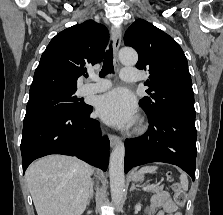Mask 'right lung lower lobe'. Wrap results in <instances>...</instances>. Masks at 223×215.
<instances>
[{"instance_id":"1","label":"right lung lower lobe","mask_w":223,"mask_h":215,"mask_svg":"<svg viewBox=\"0 0 223 215\" xmlns=\"http://www.w3.org/2000/svg\"><path fill=\"white\" fill-rule=\"evenodd\" d=\"M83 114L59 112L24 119L21 140L23 174L29 164L49 154L76 156L102 170L107 169L110 143L100 137L99 122Z\"/></svg>"}]
</instances>
